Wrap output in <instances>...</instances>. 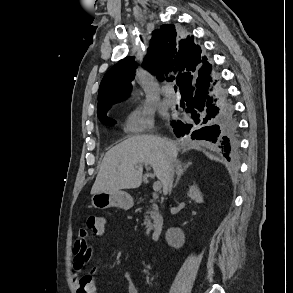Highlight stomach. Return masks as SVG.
<instances>
[{
	"instance_id": "0dacf381",
	"label": "stomach",
	"mask_w": 293,
	"mask_h": 293,
	"mask_svg": "<svg viewBox=\"0 0 293 293\" xmlns=\"http://www.w3.org/2000/svg\"><path fill=\"white\" fill-rule=\"evenodd\" d=\"M92 206L97 209H106L109 207L122 208L128 210L133 206V199L127 192L118 191L110 194L99 192L93 194L91 198Z\"/></svg>"
}]
</instances>
